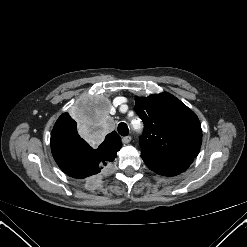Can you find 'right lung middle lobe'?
<instances>
[{"label":"right lung middle lobe","mask_w":247,"mask_h":247,"mask_svg":"<svg viewBox=\"0 0 247 247\" xmlns=\"http://www.w3.org/2000/svg\"><path fill=\"white\" fill-rule=\"evenodd\" d=\"M70 116V115H69ZM70 119L72 120V122L75 124V125H77V123L70 117Z\"/></svg>","instance_id":"dd1d6c3e"}]
</instances>
